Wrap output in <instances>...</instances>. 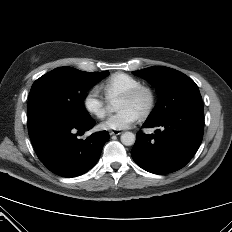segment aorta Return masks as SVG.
Wrapping results in <instances>:
<instances>
[{"mask_svg":"<svg viewBox=\"0 0 232 232\" xmlns=\"http://www.w3.org/2000/svg\"><path fill=\"white\" fill-rule=\"evenodd\" d=\"M136 137L132 132H125L121 135V142L125 146H131L135 143Z\"/></svg>","mask_w":232,"mask_h":232,"instance_id":"762f6f07","label":"aorta"}]
</instances>
